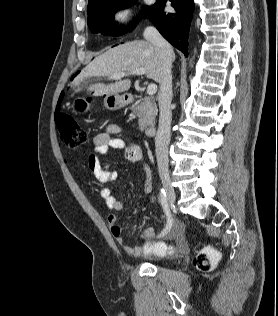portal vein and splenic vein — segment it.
Here are the masks:
<instances>
[{"label":"portal vein and splenic vein","instance_id":"portal-vein-and-splenic-vein-1","mask_svg":"<svg viewBox=\"0 0 278 316\" xmlns=\"http://www.w3.org/2000/svg\"><path fill=\"white\" fill-rule=\"evenodd\" d=\"M145 73H146V69H144V68H139V69L132 71V74H135V75H144ZM125 75H126L125 73H118V74L112 75L110 78L111 79H119V78L124 77ZM156 91H157V85L154 83H150L147 87L148 95H153L156 93Z\"/></svg>","mask_w":278,"mask_h":316}]
</instances>
